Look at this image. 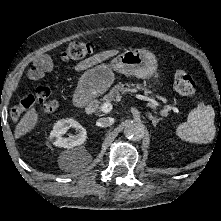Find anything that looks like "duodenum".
<instances>
[{
	"instance_id": "1",
	"label": "duodenum",
	"mask_w": 221,
	"mask_h": 221,
	"mask_svg": "<svg viewBox=\"0 0 221 221\" xmlns=\"http://www.w3.org/2000/svg\"><path fill=\"white\" fill-rule=\"evenodd\" d=\"M76 104L84 108L85 113L91 115L97 109L98 103L94 99H88L87 96L79 94L76 97Z\"/></svg>"
}]
</instances>
